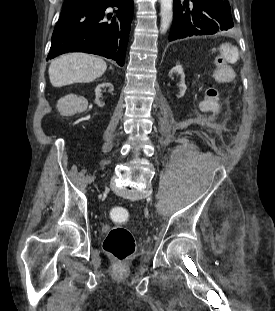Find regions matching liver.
I'll list each match as a JSON object with an SVG mask.
<instances>
[{
  "label": "liver",
  "instance_id": "6515ba94",
  "mask_svg": "<svg viewBox=\"0 0 275 311\" xmlns=\"http://www.w3.org/2000/svg\"><path fill=\"white\" fill-rule=\"evenodd\" d=\"M106 69V62L101 58L85 53H70L51 62L49 79L54 87L88 83L103 75Z\"/></svg>",
  "mask_w": 275,
  "mask_h": 311
}]
</instances>
